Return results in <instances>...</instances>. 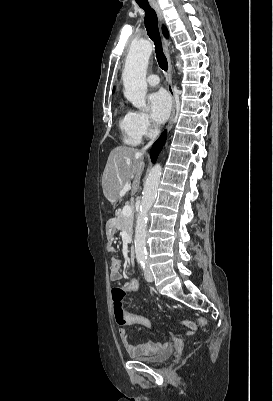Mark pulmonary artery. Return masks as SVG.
<instances>
[{"instance_id":"e3ab8cb5","label":"pulmonary artery","mask_w":273,"mask_h":401,"mask_svg":"<svg viewBox=\"0 0 273 401\" xmlns=\"http://www.w3.org/2000/svg\"><path fill=\"white\" fill-rule=\"evenodd\" d=\"M159 80H160V77H159L158 74H151V75L149 76V81H150L151 83H153V86H156V83H158Z\"/></svg>"}]
</instances>
